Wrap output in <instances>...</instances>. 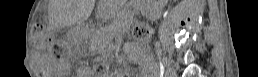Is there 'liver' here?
<instances>
[{"label": "liver", "mask_w": 258, "mask_h": 77, "mask_svg": "<svg viewBox=\"0 0 258 77\" xmlns=\"http://www.w3.org/2000/svg\"><path fill=\"white\" fill-rule=\"evenodd\" d=\"M70 3L75 4V1H70ZM64 18L69 24H73L76 21V8L72 5L71 8L67 9L64 13Z\"/></svg>", "instance_id": "6515ba94"}]
</instances>
